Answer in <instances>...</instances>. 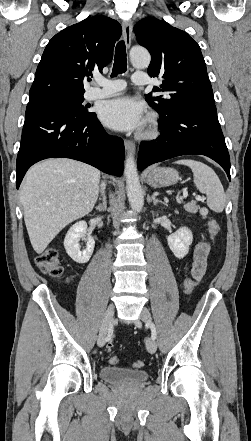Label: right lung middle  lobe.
I'll list each match as a JSON object with an SVG mask.
<instances>
[{
	"label": "right lung middle lobe",
	"instance_id": "obj_1",
	"mask_svg": "<svg viewBox=\"0 0 251 441\" xmlns=\"http://www.w3.org/2000/svg\"><path fill=\"white\" fill-rule=\"evenodd\" d=\"M83 101H84L83 94L80 95L61 94V95L50 96L48 98L39 100L34 103L60 109L74 116L85 118L90 116L92 112H89L87 110L88 108L87 105L86 106L82 105Z\"/></svg>",
	"mask_w": 251,
	"mask_h": 441
}]
</instances>
